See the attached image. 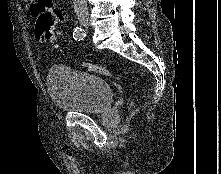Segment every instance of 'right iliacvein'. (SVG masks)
<instances>
[{"mask_svg":"<svg viewBox=\"0 0 221 174\" xmlns=\"http://www.w3.org/2000/svg\"><path fill=\"white\" fill-rule=\"evenodd\" d=\"M80 23H81V25L84 26L85 28H88V26H89V21H88L87 18H82V19L80 20Z\"/></svg>","mask_w":221,"mask_h":174,"instance_id":"obj_1","label":"right iliac vein"}]
</instances>
